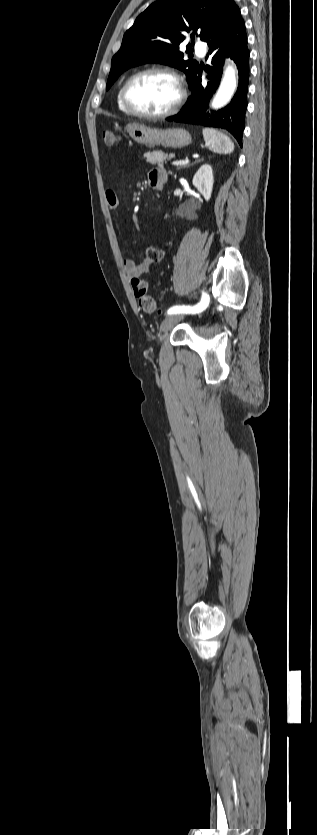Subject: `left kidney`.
Masks as SVG:
<instances>
[{"label":"left kidney","mask_w":317,"mask_h":835,"mask_svg":"<svg viewBox=\"0 0 317 835\" xmlns=\"http://www.w3.org/2000/svg\"><path fill=\"white\" fill-rule=\"evenodd\" d=\"M192 182L204 199L209 201L214 183L212 167L209 164H203L194 175Z\"/></svg>","instance_id":"5707ae66"}]
</instances>
